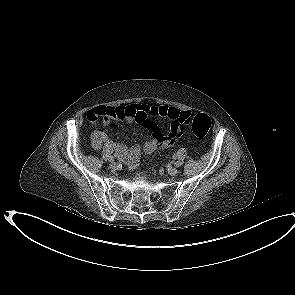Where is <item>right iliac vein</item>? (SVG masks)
Segmentation results:
<instances>
[{"mask_svg":"<svg viewBox=\"0 0 295 295\" xmlns=\"http://www.w3.org/2000/svg\"><path fill=\"white\" fill-rule=\"evenodd\" d=\"M110 168L111 169H116L117 168V164L115 162H111L110 163Z\"/></svg>","mask_w":295,"mask_h":295,"instance_id":"63e3f726","label":"right iliac vein"}]
</instances>
